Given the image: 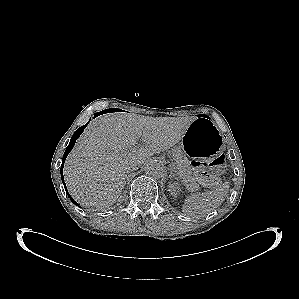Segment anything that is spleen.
<instances>
[{"instance_id":"spleen-1","label":"spleen","mask_w":299,"mask_h":299,"mask_svg":"<svg viewBox=\"0 0 299 299\" xmlns=\"http://www.w3.org/2000/svg\"><path fill=\"white\" fill-rule=\"evenodd\" d=\"M229 183L225 182L222 186L214 188L204 193H193L186 197L182 211L185 215L193 218H201L218 208L229 192Z\"/></svg>"}]
</instances>
